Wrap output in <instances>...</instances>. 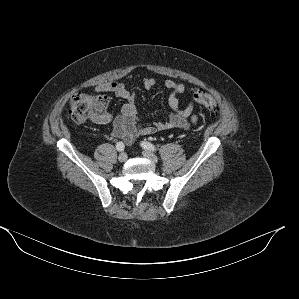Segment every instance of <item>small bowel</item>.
Segmentation results:
<instances>
[{"label":"small bowel","mask_w":299,"mask_h":299,"mask_svg":"<svg viewBox=\"0 0 299 299\" xmlns=\"http://www.w3.org/2000/svg\"><path fill=\"white\" fill-rule=\"evenodd\" d=\"M142 85L146 90H151L157 85V80L153 77L145 78ZM164 86L170 91L167 100L170 110L168 118L143 125L138 119L134 94L124 83L109 81L97 85L95 87L97 93H112L122 98L124 103L120 115L113 117L111 113L105 112L96 118V122L99 124L112 122L114 136L122 139L126 144H132L136 138L142 135H151L170 129H186L191 124L196 123L198 113L195 110L194 103L191 101L184 108L179 105V96L187 90L186 85L168 79L164 81Z\"/></svg>","instance_id":"small-bowel-1"}]
</instances>
